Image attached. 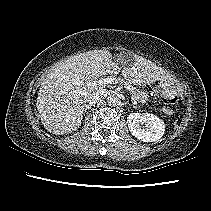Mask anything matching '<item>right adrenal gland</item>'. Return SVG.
Listing matches in <instances>:
<instances>
[{
	"instance_id": "right-adrenal-gland-1",
	"label": "right adrenal gland",
	"mask_w": 211,
	"mask_h": 211,
	"mask_svg": "<svg viewBox=\"0 0 211 211\" xmlns=\"http://www.w3.org/2000/svg\"><path fill=\"white\" fill-rule=\"evenodd\" d=\"M94 104L85 105L84 112L86 113L87 110H89L91 107H94Z\"/></svg>"
}]
</instances>
